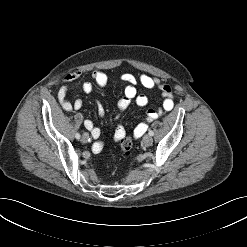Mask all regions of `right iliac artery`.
<instances>
[{
  "label": "right iliac artery",
  "instance_id": "82829eb1",
  "mask_svg": "<svg viewBox=\"0 0 247 247\" xmlns=\"http://www.w3.org/2000/svg\"><path fill=\"white\" fill-rule=\"evenodd\" d=\"M75 137H76V139H80V134L77 133V134L75 135Z\"/></svg>",
  "mask_w": 247,
  "mask_h": 247
}]
</instances>
